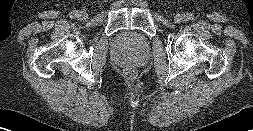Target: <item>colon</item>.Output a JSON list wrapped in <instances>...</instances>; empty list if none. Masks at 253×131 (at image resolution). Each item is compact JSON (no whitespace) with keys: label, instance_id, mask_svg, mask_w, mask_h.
<instances>
[{"label":"colon","instance_id":"1","mask_svg":"<svg viewBox=\"0 0 253 131\" xmlns=\"http://www.w3.org/2000/svg\"><path fill=\"white\" fill-rule=\"evenodd\" d=\"M126 74L129 76V77H133L134 76V71L132 69H128L126 71Z\"/></svg>","mask_w":253,"mask_h":131}]
</instances>
